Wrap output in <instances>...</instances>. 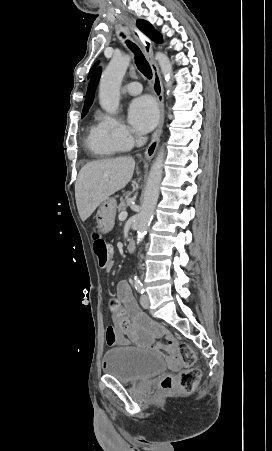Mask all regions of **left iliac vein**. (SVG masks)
<instances>
[{"instance_id": "4c4485c4", "label": "left iliac vein", "mask_w": 272, "mask_h": 451, "mask_svg": "<svg viewBox=\"0 0 272 451\" xmlns=\"http://www.w3.org/2000/svg\"><path fill=\"white\" fill-rule=\"evenodd\" d=\"M140 303H141V306H142L143 308L148 309V308H149V305H150L148 295H146V294H144V293L141 294V297H140Z\"/></svg>"}]
</instances>
